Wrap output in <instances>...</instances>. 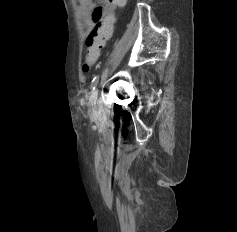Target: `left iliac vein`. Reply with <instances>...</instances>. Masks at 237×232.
Instances as JSON below:
<instances>
[{
  "label": "left iliac vein",
  "mask_w": 237,
  "mask_h": 232,
  "mask_svg": "<svg viewBox=\"0 0 237 232\" xmlns=\"http://www.w3.org/2000/svg\"><path fill=\"white\" fill-rule=\"evenodd\" d=\"M97 103V90L93 91L89 98V106L91 111H95Z\"/></svg>",
  "instance_id": "1"
}]
</instances>
